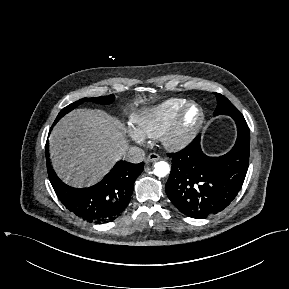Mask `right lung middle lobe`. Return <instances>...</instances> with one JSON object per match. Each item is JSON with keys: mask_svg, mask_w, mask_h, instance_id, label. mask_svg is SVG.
Instances as JSON below:
<instances>
[{"mask_svg": "<svg viewBox=\"0 0 289 289\" xmlns=\"http://www.w3.org/2000/svg\"><path fill=\"white\" fill-rule=\"evenodd\" d=\"M114 95H109L108 97L103 96V97H97V98H82L68 106H66L65 108H63L60 113L58 114L56 120L54 123H56L61 117H63L65 114H67L68 112H70L71 110H73L74 108H76L78 105L82 104L83 102L86 101H93L99 104H108L111 103L114 100Z\"/></svg>", "mask_w": 289, "mask_h": 289, "instance_id": "1", "label": "right lung middle lobe"}]
</instances>
